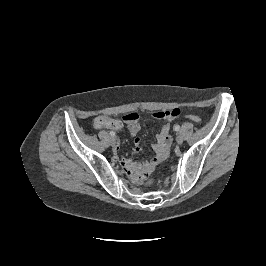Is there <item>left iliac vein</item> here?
Here are the masks:
<instances>
[{
	"label": "left iliac vein",
	"mask_w": 266,
	"mask_h": 266,
	"mask_svg": "<svg viewBox=\"0 0 266 266\" xmlns=\"http://www.w3.org/2000/svg\"><path fill=\"white\" fill-rule=\"evenodd\" d=\"M183 136L182 135H178L177 137H176V141H177V143L178 144H182V142H183Z\"/></svg>",
	"instance_id": "obj_1"
}]
</instances>
